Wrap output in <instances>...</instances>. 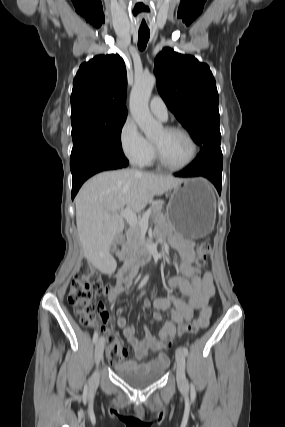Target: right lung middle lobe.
I'll return each mask as SVG.
<instances>
[{"mask_svg":"<svg viewBox=\"0 0 285 427\" xmlns=\"http://www.w3.org/2000/svg\"><path fill=\"white\" fill-rule=\"evenodd\" d=\"M127 115L81 114L71 117L73 149L70 168L93 151L124 156L121 148V130Z\"/></svg>","mask_w":285,"mask_h":427,"instance_id":"1","label":"right lung middle lobe"}]
</instances>
